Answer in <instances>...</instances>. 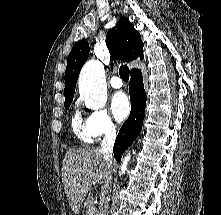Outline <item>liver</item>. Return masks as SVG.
Instances as JSON below:
<instances>
[{"label": "liver", "mask_w": 221, "mask_h": 215, "mask_svg": "<svg viewBox=\"0 0 221 215\" xmlns=\"http://www.w3.org/2000/svg\"><path fill=\"white\" fill-rule=\"evenodd\" d=\"M112 163L104 159L99 148L66 152L62 165V183L71 210L78 214L92 186L101 184L103 191L111 179Z\"/></svg>", "instance_id": "1"}]
</instances>
